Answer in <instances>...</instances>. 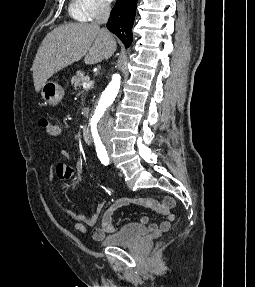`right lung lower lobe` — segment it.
<instances>
[{
    "label": "right lung lower lobe",
    "instance_id": "obj_1",
    "mask_svg": "<svg viewBox=\"0 0 255 287\" xmlns=\"http://www.w3.org/2000/svg\"><path fill=\"white\" fill-rule=\"evenodd\" d=\"M137 0H117L108 19L107 28L128 48L133 40L132 27Z\"/></svg>",
    "mask_w": 255,
    "mask_h": 287
}]
</instances>
